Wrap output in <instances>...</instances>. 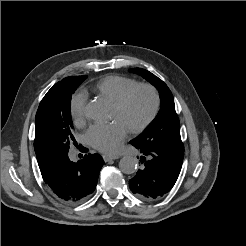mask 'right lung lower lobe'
<instances>
[{"label": "right lung lower lobe", "instance_id": "98d812e1", "mask_svg": "<svg viewBox=\"0 0 246 246\" xmlns=\"http://www.w3.org/2000/svg\"><path fill=\"white\" fill-rule=\"evenodd\" d=\"M103 165L97 153L87 154L77 163L66 154L47 159L39 168L54 195L71 204L85 200L94 192Z\"/></svg>", "mask_w": 246, "mask_h": 246}]
</instances>
